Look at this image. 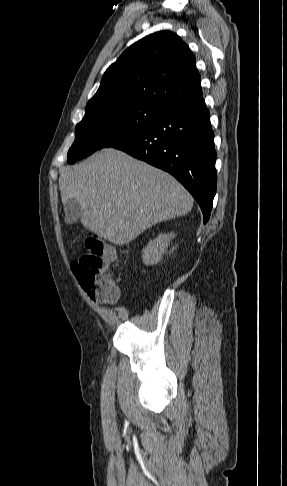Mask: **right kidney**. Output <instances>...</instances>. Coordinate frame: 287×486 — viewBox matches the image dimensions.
<instances>
[{
    "mask_svg": "<svg viewBox=\"0 0 287 486\" xmlns=\"http://www.w3.org/2000/svg\"><path fill=\"white\" fill-rule=\"evenodd\" d=\"M175 236L173 232L170 234L161 233L154 240H150L143 250L142 259L144 264L156 265L162 259V255L167 251L170 240Z\"/></svg>",
    "mask_w": 287,
    "mask_h": 486,
    "instance_id": "1",
    "label": "right kidney"
}]
</instances>
